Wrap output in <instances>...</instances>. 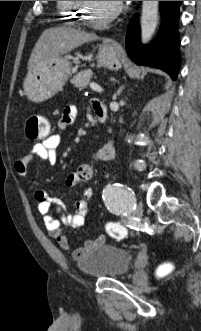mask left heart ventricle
Returning <instances> with one entry per match:
<instances>
[{
    "label": "left heart ventricle",
    "instance_id": "obj_1",
    "mask_svg": "<svg viewBox=\"0 0 201 331\" xmlns=\"http://www.w3.org/2000/svg\"><path fill=\"white\" fill-rule=\"evenodd\" d=\"M87 14L89 19L100 21L112 13L118 5L114 1H89Z\"/></svg>",
    "mask_w": 201,
    "mask_h": 331
}]
</instances>
